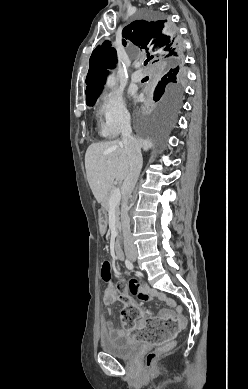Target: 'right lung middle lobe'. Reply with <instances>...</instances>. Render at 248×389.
<instances>
[{
  "label": "right lung middle lobe",
  "instance_id": "1",
  "mask_svg": "<svg viewBox=\"0 0 248 389\" xmlns=\"http://www.w3.org/2000/svg\"><path fill=\"white\" fill-rule=\"evenodd\" d=\"M149 18L157 19L159 13L152 12ZM184 79V68L182 64L176 63L165 71L164 76L158 82L153 97V100L158 102L157 111L146 123V131L152 137L162 138L165 129L173 122L181 106ZM101 91L86 98L88 106H94Z\"/></svg>",
  "mask_w": 248,
  "mask_h": 389
}]
</instances>
